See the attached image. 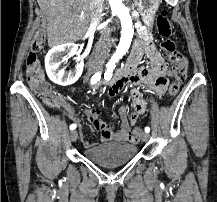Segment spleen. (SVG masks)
Wrapping results in <instances>:
<instances>
[{
	"label": "spleen",
	"instance_id": "obj_1",
	"mask_svg": "<svg viewBox=\"0 0 217 202\" xmlns=\"http://www.w3.org/2000/svg\"><path fill=\"white\" fill-rule=\"evenodd\" d=\"M166 5H177V0H166Z\"/></svg>",
	"mask_w": 217,
	"mask_h": 202
}]
</instances>
